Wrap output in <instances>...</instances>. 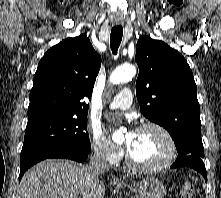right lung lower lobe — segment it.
<instances>
[{"label":"right lung lower lobe","mask_w":221,"mask_h":198,"mask_svg":"<svg viewBox=\"0 0 221 198\" xmlns=\"http://www.w3.org/2000/svg\"><path fill=\"white\" fill-rule=\"evenodd\" d=\"M88 154L89 152H84L76 148L64 146H55L40 150L20 161L19 181L28 168L41 160L48 158H65L77 162H83L87 159Z\"/></svg>","instance_id":"right-lung-lower-lobe-1"}]
</instances>
